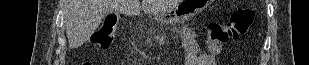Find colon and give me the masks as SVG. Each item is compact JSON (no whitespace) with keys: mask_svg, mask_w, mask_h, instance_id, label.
Returning <instances> with one entry per match:
<instances>
[{"mask_svg":"<svg viewBox=\"0 0 309 65\" xmlns=\"http://www.w3.org/2000/svg\"><path fill=\"white\" fill-rule=\"evenodd\" d=\"M253 11L248 8L236 9L228 23H209L206 26V37L210 43H225L244 36L253 23ZM117 21L108 20L95 35L93 45L105 52L110 49L114 42Z\"/></svg>","mask_w":309,"mask_h":65,"instance_id":"1","label":"colon"}]
</instances>
